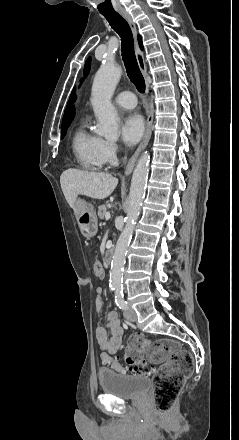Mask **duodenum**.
<instances>
[{"label": "duodenum", "mask_w": 239, "mask_h": 440, "mask_svg": "<svg viewBox=\"0 0 239 440\" xmlns=\"http://www.w3.org/2000/svg\"><path fill=\"white\" fill-rule=\"evenodd\" d=\"M113 255H114V249L113 248H109L106 253H105V259L107 263H111L113 260Z\"/></svg>", "instance_id": "duodenum-1"}]
</instances>
